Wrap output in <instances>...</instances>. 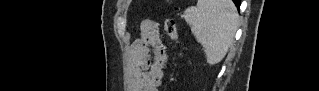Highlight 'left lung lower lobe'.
Here are the masks:
<instances>
[{
	"label": "left lung lower lobe",
	"mask_w": 319,
	"mask_h": 91,
	"mask_svg": "<svg viewBox=\"0 0 319 91\" xmlns=\"http://www.w3.org/2000/svg\"><path fill=\"white\" fill-rule=\"evenodd\" d=\"M233 2L235 3L237 9L239 10L240 0H233Z\"/></svg>",
	"instance_id": "1"
}]
</instances>
